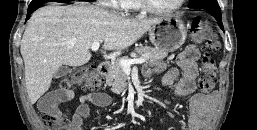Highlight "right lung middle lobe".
Wrapping results in <instances>:
<instances>
[{"instance_id": "obj_1", "label": "right lung middle lobe", "mask_w": 257, "mask_h": 130, "mask_svg": "<svg viewBox=\"0 0 257 130\" xmlns=\"http://www.w3.org/2000/svg\"><path fill=\"white\" fill-rule=\"evenodd\" d=\"M45 0H32L31 4L28 7V11L32 12L35 11L38 7H40L42 4L46 3Z\"/></svg>"}]
</instances>
